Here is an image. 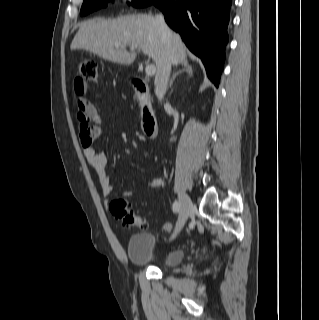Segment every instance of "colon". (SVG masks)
<instances>
[{"mask_svg":"<svg viewBox=\"0 0 319 320\" xmlns=\"http://www.w3.org/2000/svg\"><path fill=\"white\" fill-rule=\"evenodd\" d=\"M99 80V72L97 63L93 60H84L78 64L77 67V78L75 83L79 85H85L87 82H97ZM80 123V139L83 145H90L95 140V135L92 132L91 125L84 116L78 117ZM109 209L111 213L117 218L121 219L123 224L130 227H141L147 226L145 220L137 215L124 199H115L110 202ZM163 230L170 232L173 229L172 224L165 223Z\"/></svg>","mask_w":319,"mask_h":320,"instance_id":"obj_1","label":"colon"}]
</instances>
